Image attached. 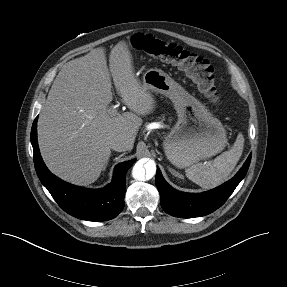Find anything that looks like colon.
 Masks as SVG:
<instances>
[{
    "label": "colon",
    "instance_id": "5ec220e1",
    "mask_svg": "<svg viewBox=\"0 0 287 287\" xmlns=\"http://www.w3.org/2000/svg\"><path fill=\"white\" fill-rule=\"evenodd\" d=\"M131 46L149 56L174 64L196 84L210 102L219 101L214 69L207 59L151 34H135L131 38Z\"/></svg>",
    "mask_w": 287,
    "mask_h": 287
}]
</instances>
